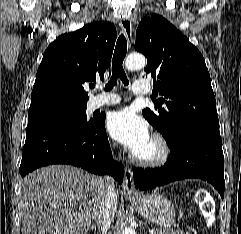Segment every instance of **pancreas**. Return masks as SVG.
<instances>
[{"instance_id": "pancreas-1", "label": "pancreas", "mask_w": 241, "mask_h": 234, "mask_svg": "<svg viewBox=\"0 0 241 234\" xmlns=\"http://www.w3.org/2000/svg\"><path fill=\"white\" fill-rule=\"evenodd\" d=\"M154 234H183V232L179 230H174L172 228H168V229L161 228V229H155Z\"/></svg>"}]
</instances>
